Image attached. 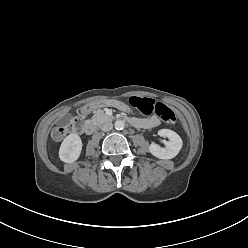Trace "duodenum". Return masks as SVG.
<instances>
[{
	"mask_svg": "<svg viewBox=\"0 0 248 248\" xmlns=\"http://www.w3.org/2000/svg\"><path fill=\"white\" fill-rule=\"evenodd\" d=\"M93 109H95V104H92V105H89L88 107L84 108L83 109V113L84 114H88L90 113ZM128 122L134 126L138 125L140 122L137 120V119H132V118H129L127 119ZM96 129V123L94 121H89V122H86L84 124V132L86 134H92Z\"/></svg>",
	"mask_w": 248,
	"mask_h": 248,
	"instance_id": "duodenum-1",
	"label": "duodenum"
}]
</instances>
